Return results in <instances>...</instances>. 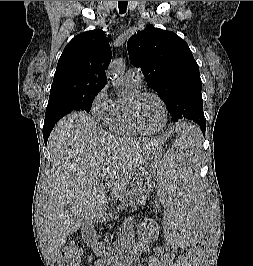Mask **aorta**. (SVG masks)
Returning a JSON list of instances; mask_svg holds the SVG:
<instances>
[{"mask_svg":"<svg viewBox=\"0 0 253 266\" xmlns=\"http://www.w3.org/2000/svg\"><path fill=\"white\" fill-rule=\"evenodd\" d=\"M123 72H124V62L122 59L113 61L107 72L106 77L111 80L112 84L120 88L123 85Z\"/></svg>","mask_w":253,"mask_h":266,"instance_id":"aorta-1","label":"aorta"}]
</instances>
